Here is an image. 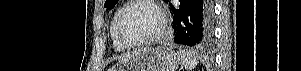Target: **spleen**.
<instances>
[{"mask_svg": "<svg viewBox=\"0 0 301 71\" xmlns=\"http://www.w3.org/2000/svg\"><path fill=\"white\" fill-rule=\"evenodd\" d=\"M178 56L182 65L186 68L187 71H191L198 64L197 57L191 52L180 50Z\"/></svg>", "mask_w": 301, "mask_h": 71, "instance_id": "1", "label": "spleen"}]
</instances>
